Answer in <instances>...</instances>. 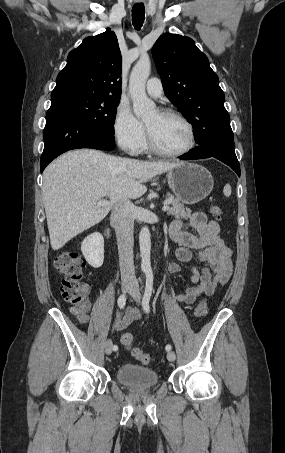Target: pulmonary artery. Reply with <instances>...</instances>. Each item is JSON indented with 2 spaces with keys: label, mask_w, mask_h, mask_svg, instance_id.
<instances>
[{
  "label": "pulmonary artery",
  "mask_w": 285,
  "mask_h": 453,
  "mask_svg": "<svg viewBox=\"0 0 285 453\" xmlns=\"http://www.w3.org/2000/svg\"><path fill=\"white\" fill-rule=\"evenodd\" d=\"M146 92L152 98H160L163 94L161 81L158 78H150L146 84Z\"/></svg>",
  "instance_id": "pulmonary-artery-1"
}]
</instances>
